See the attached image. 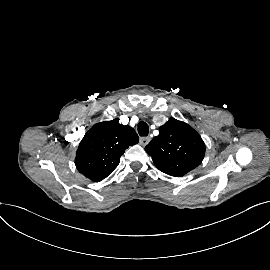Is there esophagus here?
Segmentation results:
<instances>
[{"mask_svg": "<svg viewBox=\"0 0 270 270\" xmlns=\"http://www.w3.org/2000/svg\"><path fill=\"white\" fill-rule=\"evenodd\" d=\"M151 138L150 137H141L140 138V144L142 146H146L150 142Z\"/></svg>", "mask_w": 270, "mask_h": 270, "instance_id": "esophagus-1", "label": "esophagus"}]
</instances>
